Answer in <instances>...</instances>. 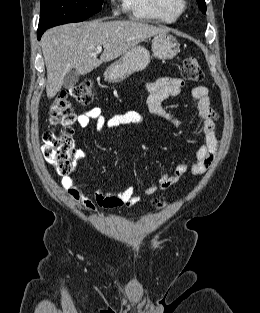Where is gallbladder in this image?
I'll return each mask as SVG.
<instances>
[{"instance_id":"bac80fb5","label":"gallbladder","mask_w":260,"mask_h":313,"mask_svg":"<svg viewBox=\"0 0 260 313\" xmlns=\"http://www.w3.org/2000/svg\"><path fill=\"white\" fill-rule=\"evenodd\" d=\"M80 74L76 70H70L62 81V86L65 89H71L78 82Z\"/></svg>"}]
</instances>
